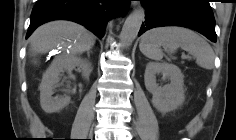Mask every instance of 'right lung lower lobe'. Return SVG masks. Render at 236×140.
Here are the masks:
<instances>
[{
    "label": "right lung lower lobe",
    "mask_w": 236,
    "mask_h": 140,
    "mask_svg": "<svg viewBox=\"0 0 236 140\" xmlns=\"http://www.w3.org/2000/svg\"><path fill=\"white\" fill-rule=\"evenodd\" d=\"M129 5L130 0H38L26 38L41 24L58 19L84 25L102 38L106 22L115 16H124Z\"/></svg>",
    "instance_id": "98d812e1"
}]
</instances>
